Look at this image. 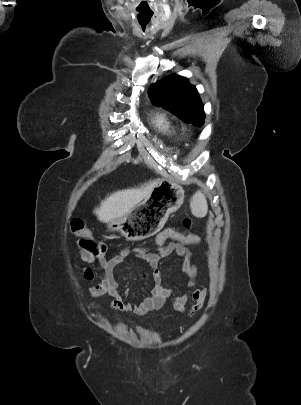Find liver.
I'll return each mask as SVG.
<instances>
[{
	"instance_id": "liver-1",
	"label": "liver",
	"mask_w": 301,
	"mask_h": 405,
	"mask_svg": "<svg viewBox=\"0 0 301 405\" xmlns=\"http://www.w3.org/2000/svg\"><path fill=\"white\" fill-rule=\"evenodd\" d=\"M160 179L150 181L139 188L125 189L114 192L105 198L98 208L94 210L98 219L111 223L123 218L129 211L146 199L152 188Z\"/></svg>"
}]
</instances>
